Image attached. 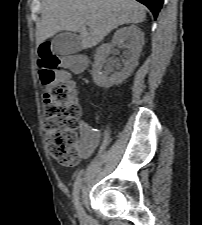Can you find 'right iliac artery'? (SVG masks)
Segmentation results:
<instances>
[{"mask_svg":"<svg viewBox=\"0 0 202 225\" xmlns=\"http://www.w3.org/2000/svg\"><path fill=\"white\" fill-rule=\"evenodd\" d=\"M81 187V178L78 177L77 180L74 183V190H73V201L77 208L78 198H79V191Z\"/></svg>","mask_w":202,"mask_h":225,"instance_id":"obj_1","label":"right iliac artery"}]
</instances>
